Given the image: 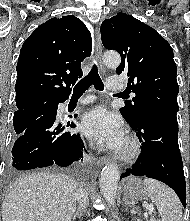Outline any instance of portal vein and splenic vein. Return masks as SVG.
Masks as SVG:
<instances>
[{"instance_id": "portal-vein-and-splenic-vein-1", "label": "portal vein and splenic vein", "mask_w": 190, "mask_h": 221, "mask_svg": "<svg viewBox=\"0 0 190 221\" xmlns=\"http://www.w3.org/2000/svg\"><path fill=\"white\" fill-rule=\"evenodd\" d=\"M149 211L153 212L154 208L153 207H148ZM151 221H156L154 219H151Z\"/></svg>"}]
</instances>
